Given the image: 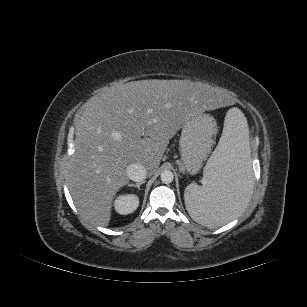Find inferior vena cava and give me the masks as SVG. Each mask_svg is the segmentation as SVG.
Segmentation results:
<instances>
[{"mask_svg":"<svg viewBox=\"0 0 307 307\" xmlns=\"http://www.w3.org/2000/svg\"><path fill=\"white\" fill-rule=\"evenodd\" d=\"M127 176L135 182H142L146 178V168L138 163H132L127 167Z\"/></svg>","mask_w":307,"mask_h":307,"instance_id":"1","label":"inferior vena cava"}]
</instances>
